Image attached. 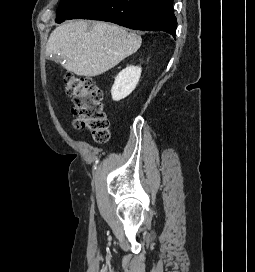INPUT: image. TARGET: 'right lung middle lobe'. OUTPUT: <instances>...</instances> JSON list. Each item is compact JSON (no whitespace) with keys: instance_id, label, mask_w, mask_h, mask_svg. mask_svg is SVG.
I'll use <instances>...</instances> for the list:
<instances>
[{"instance_id":"obj_1","label":"right lung middle lobe","mask_w":255,"mask_h":272,"mask_svg":"<svg viewBox=\"0 0 255 272\" xmlns=\"http://www.w3.org/2000/svg\"><path fill=\"white\" fill-rule=\"evenodd\" d=\"M90 0H62L57 9L56 22L61 23Z\"/></svg>"}]
</instances>
